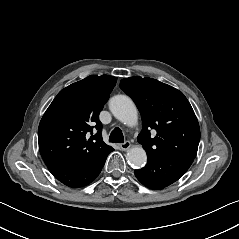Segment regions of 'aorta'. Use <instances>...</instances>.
<instances>
[{"label": "aorta", "mask_w": 239, "mask_h": 239, "mask_svg": "<svg viewBox=\"0 0 239 239\" xmlns=\"http://www.w3.org/2000/svg\"><path fill=\"white\" fill-rule=\"evenodd\" d=\"M109 109L116 119L128 126H134L138 122L137 108L127 95H115L110 98ZM127 160L138 167L146 163L147 155L142 147H135L127 153Z\"/></svg>", "instance_id": "aorta-1"}]
</instances>
